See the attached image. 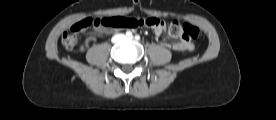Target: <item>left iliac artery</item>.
Here are the masks:
<instances>
[{"label":"left iliac artery","instance_id":"left-iliac-artery-1","mask_svg":"<svg viewBox=\"0 0 276 120\" xmlns=\"http://www.w3.org/2000/svg\"><path fill=\"white\" fill-rule=\"evenodd\" d=\"M135 40H140V36L139 35H135Z\"/></svg>","mask_w":276,"mask_h":120}]
</instances>
